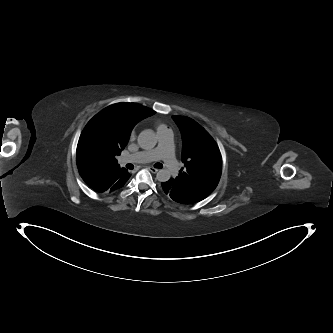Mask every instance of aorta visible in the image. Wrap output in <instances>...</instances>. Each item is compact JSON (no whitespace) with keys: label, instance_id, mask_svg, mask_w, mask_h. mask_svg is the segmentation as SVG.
<instances>
[{"label":"aorta","instance_id":"obj_1","mask_svg":"<svg viewBox=\"0 0 333 333\" xmlns=\"http://www.w3.org/2000/svg\"><path fill=\"white\" fill-rule=\"evenodd\" d=\"M138 144L142 149H152L157 144V137L153 130L147 129L143 130L138 136ZM171 177L170 171L167 169H160L156 178L160 182L168 181Z\"/></svg>","mask_w":333,"mask_h":333}]
</instances>
